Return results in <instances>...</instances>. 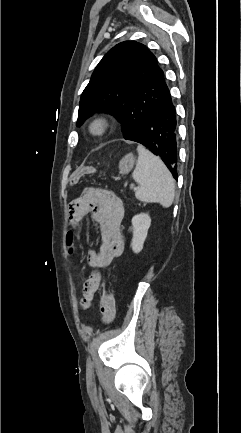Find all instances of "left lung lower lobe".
<instances>
[{"instance_id":"left-lung-lower-lobe-1","label":"left lung lower lobe","mask_w":241,"mask_h":433,"mask_svg":"<svg viewBox=\"0 0 241 433\" xmlns=\"http://www.w3.org/2000/svg\"><path fill=\"white\" fill-rule=\"evenodd\" d=\"M125 139L146 146L153 154L162 159L174 178H178L176 171L177 115L168 87L162 100L149 116Z\"/></svg>"}]
</instances>
